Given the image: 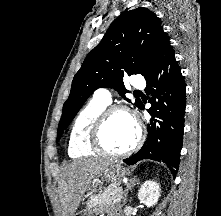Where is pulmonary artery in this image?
I'll return each mask as SVG.
<instances>
[{"label": "pulmonary artery", "instance_id": "pulmonary-artery-1", "mask_svg": "<svg viewBox=\"0 0 221 216\" xmlns=\"http://www.w3.org/2000/svg\"><path fill=\"white\" fill-rule=\"evenodd\" d=\"M134 88L143 89L145 87V80L141 77L136 78L132 83ZM94 100L109 105L111 103V92L106 88H101L95 91Z\"/></svg>", "mask_w": 221, "mask_h": 216}]
</instances>
